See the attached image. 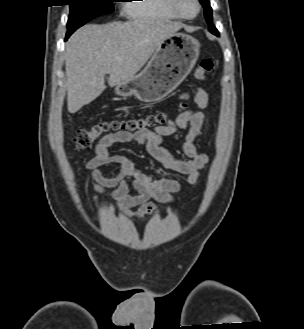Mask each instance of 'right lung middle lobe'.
Segmentation results:
<instances>
[{
  "label": "right lung middle lobe",
  "instance_id": "dd1d6c3e",
  "mask_svg": "<svg viewBox=\"0 0 304 329\" xmlns=\"http://www.w3.org/2000/svg\"><path fill=\"white\" fill-rule=\"evenodd\" d=\"M70 14L67 22L68 38L76 29L100 15L113 11L112 3L115 0H68Z\"/></svg>",
  "mask_w": 304,
  "mask_h": 329
}]
</instances>
